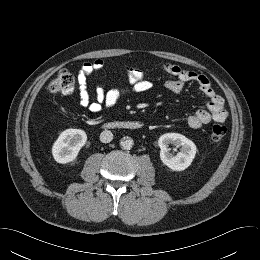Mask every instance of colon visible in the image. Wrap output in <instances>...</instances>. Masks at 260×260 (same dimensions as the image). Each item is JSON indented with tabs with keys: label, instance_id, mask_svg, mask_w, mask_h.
<instances>
[{
	"label": "colon",
	"instance_id": "1",
	"mask_svg": "<svg viewBox=\"0 0 260 260\" xmlns=\"http://www.w3.org/2000/svg\"><path fill=\"white\" fill-rule=\"evenodd\" d=\"M75 88V77L68 70H61L48 85V90L51 93H59L63 95L72 94ZM227 128L223 124H214L210 129L211 139L220 141L225 137Z\"/></svg>",
	"mask_w": 260,
	"mask_h": 260
}]
</instances>
